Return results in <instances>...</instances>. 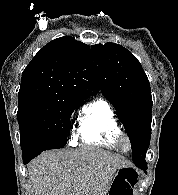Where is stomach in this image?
Segmentation results:
<instances>
[{"label": "stomach", "mask_w": 178, "mask_h": 195, "mask_svg": "<svg viewBox=\"0 0 178 195\" xmlns=\"http://www.w3.org/2000/svg\"><path fill=\"white\" fill-rule=\"evenodd\" d=\"M130 167H125V168H120L116 171L114 177H113V180H112V183H111V186H110V189L108 191V195H112L114 194L115 192V187H116V183L117 181L125 178V176L131 171L130 169H128ZM126 182L127 180L124 179ZM128 188H125V190H127ZM120 192H124V191H120Z\"/></svg>", "instance_id": "stomach-1"}]
</instances>
